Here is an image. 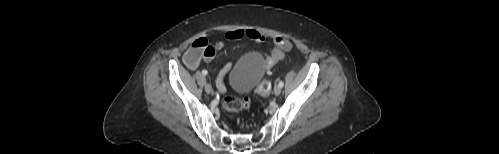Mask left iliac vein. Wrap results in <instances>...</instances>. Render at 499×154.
<instances>
[{"instance_id": "left-iliac-vein-1", "label": "left iliac vein", "mask_w": 499, "mask_h": 154, "mask_svg": "<svg viewBox=\"0 0 499 154\" xmlns=\"http://www.w3.org/2000/svg\"><path fill=\"white\" fill-rule=\"evenodd\" d=\"M282 88L279 85H276L274 87V94L275 95H280Z\"/></svg>"}]
</instances>
